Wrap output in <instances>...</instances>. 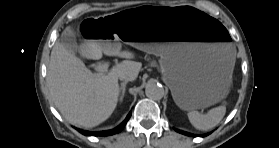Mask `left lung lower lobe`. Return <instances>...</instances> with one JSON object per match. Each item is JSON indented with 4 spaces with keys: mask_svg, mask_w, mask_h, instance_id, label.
<instances>
[{
    "mask_svg": "<svg viewBox=\"0 0 279 148\" xmlns=\"http://www.w3.org/2000/svg\"><path fill=\"white\" fill-rule=\"evenodd\" d=\"M176 131L179 132V133H182V134H184V135H187V136H194V135H192V134H190V133L183 132V131H180V130H176Z\"/></svg>",
    "mask_w": 279,
    "mask_h": 148,
    "instance_id": "0a47b994",
    "label": "left lung lower lobe"
}]
</instances>
